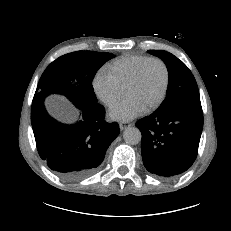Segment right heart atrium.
<instances>
[{
	"label": "right heart atrium",
	"instance_id": "right-heart-atrium-1",
	"mask_svg": "<svg viewBox=\"0 0 231 231\" xmlns=\"http://www.w3.org/2000/svg\"><path fill=\"white\" fill-rule=\"evenodd\" d=\"M93 89L97 97L107 106L114 104L123 92L106 68H102L96 73Z\"/></svg>",
	"mask_w": 231,
	"mask_h": 231
}]
</instances>
